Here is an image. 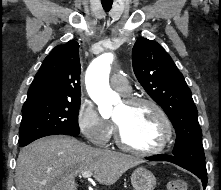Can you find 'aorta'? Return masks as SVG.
Masks as SVG:
<instances>
[{
	"label": "aorta",
	"mask_w": 221,
	"mask_h": 190,
	"mask_svg": "<svg viewBox=\"0 0 221 190\" xmlns=\"http://www.w3.org/2000/svg\"><path fill=\"white\" fill-rule=\"evenodd\" d=\"M111 53H104L94 59L87 69L85 83L90 98L98 105L103 118L111 115L113 105L119 96L110 88L109 74L113 62Z\"/></svg>",
	"instance_id": "aorta-1"
}]
</instances>
